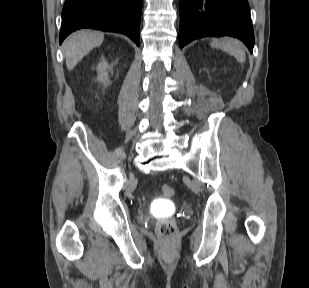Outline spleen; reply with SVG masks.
<instances>
[{
  "label": "spleen",
  "instance_id": "1",
  "mask_svg": "<svg viewBox=\"0 0 309 288\" xmlns=\"http://www.w3.org/2000/svg\"><path fill=\"white\" fill-rule=\"evenodd\" d=\"M211 45L213 47L223 49L228 54L234 56L240 63H243L246 60L243 44L238 40L231 38L213 40Z\"/></svg>",
  "mask_w": 309,
  "mask_h": 288
}]
</instances>
